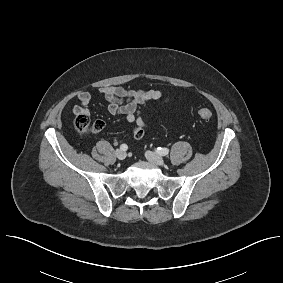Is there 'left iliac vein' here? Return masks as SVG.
<instances>
[{"mask_svg": "<svg viewBox=\"0 0 283 283\" xmlns=\"http://www.w3.org/2000/svg\"><path fill=\"white\" fill-rule=\"evenodd\" d=\"M145 156H146L147 160H149L153 164L162 166L165 163L164 159L160 155H158V154H156L152 151H147L145 153Z\"/></svg>", "mask_w": 283, "mask_h": 283, "instance_id": "4c4485c4", "label": "left iliac vein"}]
</instances>
